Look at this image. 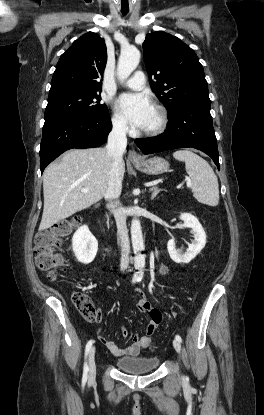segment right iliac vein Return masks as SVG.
<instances>
[{
  "mask_svg": "<svg viewBox=\"0 0 264 415\" xmlns=\"http://www.w3.org/2000/svg\"><path fill=\"white\" fill-rule=\"evenodd\" d=\"M89 380L92 381L96 375L95 347L89 353Z\"/></svg>",
  "mask_w": 264,
  "mask_h": 415,
  "instance_id": "right-iliac-vein-1",
  "label": "right iliac vein"
}]
</instances>
